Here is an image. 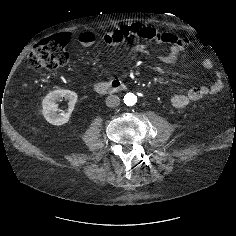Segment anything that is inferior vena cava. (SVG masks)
<instances>
[{
    "instance_id": "1",
    "label": "inferior vena cava",
    "mask_w": 236,
    "mask_h": 236,
    "mask_svg": "<svg viewBox=\"0 0 236 236\" xmlns=\"http://www.w3.org/2000/svg\"><path fill=\"white\" fill-rule=\"evenodd\" d=\"M120 104V98L117 95H109L106 98V105L110 108H114Z\"/></svg>"
}]
</instances>
